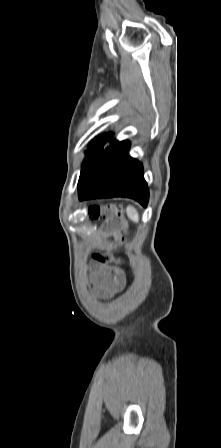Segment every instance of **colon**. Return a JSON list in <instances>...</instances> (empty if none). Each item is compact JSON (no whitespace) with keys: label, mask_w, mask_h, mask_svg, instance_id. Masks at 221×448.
Instances as JSON below:
<instances>
[{"label":"colon","mask_w":221,"mask_h":448,"mask_svg":"<svg viewBox=\"0 0 221 448\" xmlns=\"http://www.w3.org/2000/svg\"><path fill=\"white\" fill-rule=\"evenodd\" d=\"M108 209L110 210V213L113 217H115L120 223L126 225L123 211L120 205L118 204H112L108 206ZM90 214L92 217H96L101 214V210L98 207H92L90 209ZM94 259L96 261L102 262V263H118L119 260L115 258L113 255L110 254H103V253H94Z\"/></svg>","instance_id":"colon-1"}]
</instances>
